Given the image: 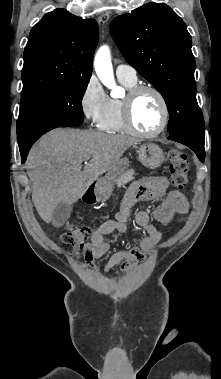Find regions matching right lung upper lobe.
<instances>
[{
	"label": "right lung upper lobe",
	"instance_id": "obj_1",
	"mask_svg": "<svg viewBox=\"0 0 221 379\" xmlns=\"http://www.w3.org/2000/svg\"><path fill=\"white\" fill-rule=\"evenodd\" d=\"M98 38L94 19L77 17L65 9L45 14L32 28L24 50L22 91L90 78Z\"/></svg>",
	"mask_w": 221,
	"mask_h": 379
}]
</instances>
